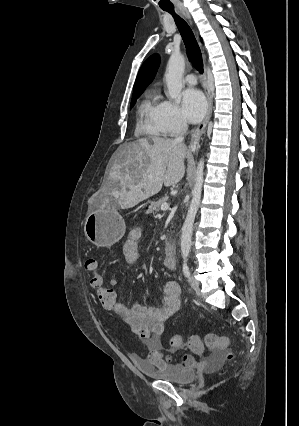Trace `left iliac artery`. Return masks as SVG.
Wrapping results in <instances>:
<instances>
[{"instance_id": "44dca946", "label": "left iliac artery", "mask_w": 299, "mask_h": 426, "mask_svg": "<svg viewBox=\"0 0 299 426\" xmlns=\"http://www.w3.org/2000/svg\"><path fill=\"white\" fill-rule=\"evenodd\" d=\"M183 273L186 278L190 277L189 267L186 262L183 263Z\"/></svg>"}]
</instances>
